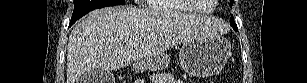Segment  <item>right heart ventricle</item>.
I'll list each match as a JSON object with an SVG mask.
<instances>
[{
    "mask_svg": "<svg viewBox=\"0 0 307 83\" xmlns=\"http://www.w3.org/2000/svg\"><path fill=\"white\" fill-rule=\"evenodd\" d=\"M148 7L155 12L168 15L174 13L195 12L192 7L182 0H150Z\"/></svg>",
    "mask_w": 307,
    "mask_h": 83,
    "instance_id": "e07e8e85",
    "label": "right heart ventricle"
}]
</instances>
